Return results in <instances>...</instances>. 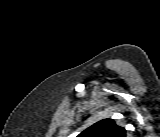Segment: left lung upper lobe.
Returning <instances> with one entry per match:
<instances>
[{"instance_id":"5c2ea615","label":"left lung upper lobe","mask_w":160,"mask_h":137,"mask_svg":"<svg viewBox=\"0 0 160 137\" xmlns=\"http://www.w3.org/2000/svg\"><path fill=\"white\" fill-rule=\"evenodd\" d=\"M126 131L112 119H103L82 131L77 137H125Z\"/></svg>"}]
</instances>
